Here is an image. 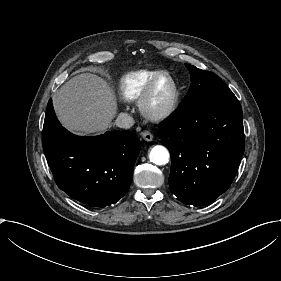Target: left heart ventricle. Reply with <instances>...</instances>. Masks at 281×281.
<instances>
[{"label":"left heart ventricle","instance_id":"obj_1","mask_svg":"<svg viewBox=\"0 0 281 281\" xmlns=\"http://www.w3.org/2000/svg\"><path fill=\"white\" fill-rule=\"evenodd\" d=\"M172 95V84L168 79L162 80L156 87L152 106L156 109L165 107Z\"/></svg>","mask_w":281,"mask_h":281}]
</instances>
